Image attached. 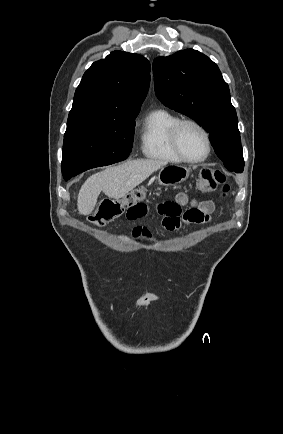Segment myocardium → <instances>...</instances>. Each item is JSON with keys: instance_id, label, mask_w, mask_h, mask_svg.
<instances>
[{"instance_id": "f54148a6", "label": "myocardium", "mask_w": 283, "mask_h": 434, "mask_svg": "<svg viewBox=\"0 0 283 434\" xmlns=\"http://www.w3.org/2000/svg\"><path fill=\"white\" fill-rule=\"evenodd\" d=\"M193 125L196 128H198L201 133L203 134L204 138H205V142H206V153L197 159H192L187 157L179 144V132L180 129L184 126V125ZM170 141H171V145L172 148L174 150V152L176 153V155L184 162L187 163H191V164H196V163H201L203 161H205L211 154L212 151V143H211V138L209 135V132L207 131V129L198 121L194 120V119H190V118H186V119H179L172 127L171 132H170Z\"/></svg>"}]
</instances>
